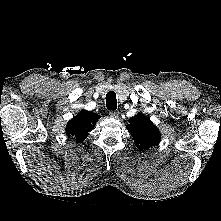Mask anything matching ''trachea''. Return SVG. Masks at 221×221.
<instances>
[{
	"label": "trachea",
	"instance_id": "trachea-1",
	"mask_svg": "<svg viewBox=\"0 0 221 221\" xmlns=\"http://www.w3.org/2000/svg\"><path fill=\"white\" fill-rule=\"evenodd\" d=\"M106 107L109 110H116L117 109V99H116V94L113 91H109L106 94Z\"/></svg>",
	"mask_w": 221,
	"mask_h": 221
}]
</instances>
